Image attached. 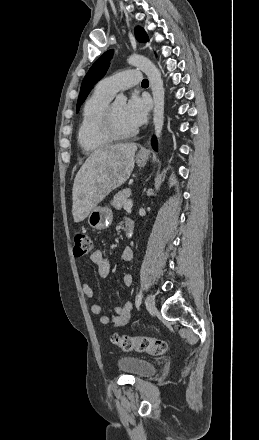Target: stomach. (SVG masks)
<instances>
[{
	"label": "stomach",
	"instance_id": "0dacf381",
	"mask_svg": "<svg viewBox=\"0 0 259 440\" xmlns=\"http://www.w3.org/2000/svg\"><path fill=\"white\" fill-rule=\"evenodd\" d=\"M136 163L139 167H144L147 157H137ZM113 220L112 211L108 207H94L88 214V224L96 230L107 229Z\"/></svg>",
	"mask_w": 259,
	"mask_h": 440
}]
</instances>
